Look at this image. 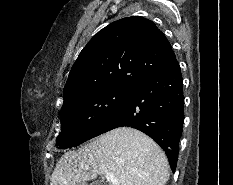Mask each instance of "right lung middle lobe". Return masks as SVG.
<instances>
[{"label":"right lung middle lobe","mask_w":233,"mask_h":185,"mask_svg":"<svg viewBox=\"0 0 233 185\" xmlns=\"http://www.w3.org/2000/svg\"><path fill=\"white\" fill-rule=\"evenodd\" d=\"M129 89L110 88L78 97L62 107V130L56 145L61 149L77 146L124 101Z\"/></svg>","instance_id":"right-lung-middle-lobe-1"}]
</instances>
